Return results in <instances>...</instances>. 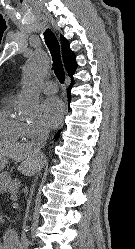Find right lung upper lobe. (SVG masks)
<instances>
[{
	"label": "right lung upper lobe",
	"instance_id": "1",
	"mask_svg": "<svg viewBox=\"0 0 135 249\" xmlns=\"http://www.w3.org/2000/svg\"><path fill=\"white\" fill-rule=\"evenodd\" d=\"M60 39L62 43V57L64 65L68 74L72 77L77 68L76 57L74 52L69 48V42L62 35Z\"/></svg>",
	"mask_w": 135,
	"mask_h": 249
}]
</instances>
